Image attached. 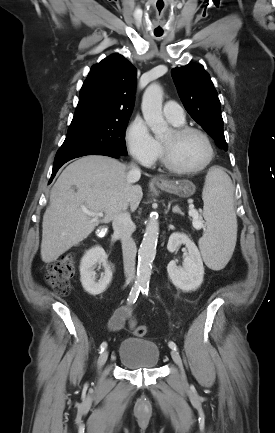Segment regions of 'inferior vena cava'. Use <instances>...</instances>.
<instances>
[{"mask_svg": "<svg viewBox=\"0 0 275 433\" xmlns=\"http://www.w3.org/2000/svg\"><path fill=\"white\" fill-rule=\"evenodd\" d=\"M141 176L140 169L135 165H130V182H136ZM112 226L114 234L118 236L122 243L124 273L128 281H133L135 278V258L136 244L132 238L135 226L131 220L129 212L126 208L119 211L113 218Z\"/></svg>", "mask_w": 275, "mask_h": 433, "instance_id": "602c4592", "label": "inferior vena cava"}]
</instances>
